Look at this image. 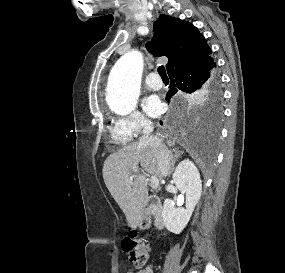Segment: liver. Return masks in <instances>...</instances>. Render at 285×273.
Returning <instances> with one entry per match:
<instances>
[{
	"label": "liver",
	"instance_id": "6515ba94",
	"mask_svg": "<svg viewBox=\"0 0 285 273\" xmlns=\"http://www.w3.org/2000/svg\"><path fill=\"white\" fill-rule=\"evenodd\" d=\"M166 143L173 147L175 139L167 138ZM139 165L147 173L162 177L155 146L140 140L110 154L102 170L106 187L132 228L137 226L148 197L146 176L132 174L134 169H139ZM131 177L132 181H129Z\"/></svg>",
	"mask_w": 285,
	"mask_h": 273
}]
</instances>
